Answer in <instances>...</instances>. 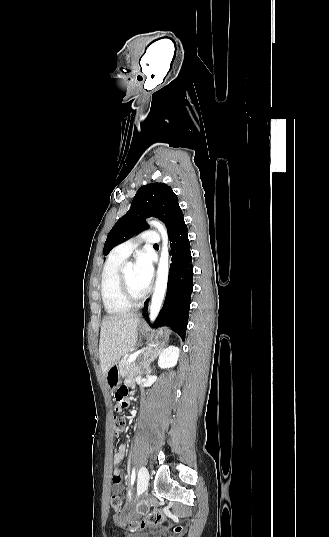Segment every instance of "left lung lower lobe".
I'll return each mask as SVG.
<instances>
[{
  "label": "left lung lower lobe",
  "mask_w": 329,
  "mask_h": 537,
  "mask_svg": "<svg viewBox=\"0 0 329 537\" xmlns=\"http://www.w3.org/2000/svg\"><path fill=\"white\" fill-rule=\"evenodd\" d=\"M172 255L164 305L154 326H169L184 339L193 290V265L185 222L169 238ZM148 305L145 304V311Z\"/></svg>",
  "instance_id": "left-lung-lower-lobe-1"
}]
</instances>
